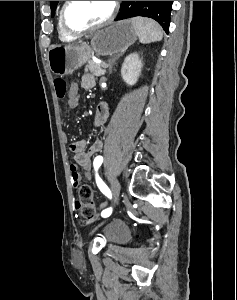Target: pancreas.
Returning <instances> with one entry per match:
<instances>
[{"instance_id":"pancreas-1","label":"pancreas","mask_w":237,"mask_h":300,"mask_svg":"<svg viewBox=\"0 0 237 300\" xmlns=\"http://www.w3.org/2000/svg\"><path fill=\"white\" fill-rule=\"evenodd\" d=\"M110 61H108V66ZM104 63H94V61H87V65H85L84 73H92V75H95V77H101V75H105L106 68L103 69L101 66ZM108 69V68H107Z\"/></svg>"}]
</instances>
